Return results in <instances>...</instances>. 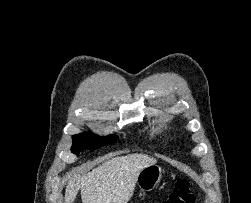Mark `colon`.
<instances>
[{
    "mask_svg": "<svg viewBox=\"0 0 251 203\" xmlns=\"http://www.w3.org/2000/svg\"><path fill=\"white\" fill-rule=\"evenodd\" d=\"M161 203H194V194L185 179L177 181L174 190Z\"/></svg>",
    "mask_w": 251,
    "mask_h": 203,
    "instance_id": "obj_1",
    "label": "colon"
}]
</instances>
